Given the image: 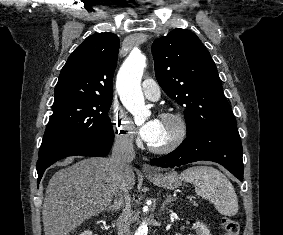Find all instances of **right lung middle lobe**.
<instances>
[{
    "label": "right lung middle lobe",
    "instance_id": "dd1d6c3e",
    "mask_svg": "<svg viewBox=\"0 0 283 235\" xmlns=\"http://www.w3.org/2000/svg\"><path fill=\"white\" fill-rule=\"evenodd\" d=\"M112 97H72L53 105L39 157L65 143L113 132L107 116Z\"/></svg>",
    "mask_w": 283,
    "mask_h": 235
}]
</instances>
